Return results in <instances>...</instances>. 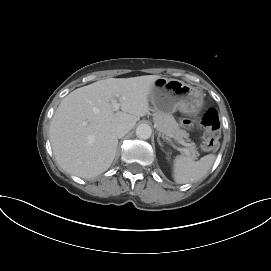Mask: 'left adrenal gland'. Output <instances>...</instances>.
<instances>
[{"instance_id": "1", "label": "left adrenal gland", "mask_w": 271, "mask_h": 271, "mask_svg": "<svg viewBox=\"0 0 271 271\" xmlns=\"http://www.w3.org/2000/svg\"><path fill=\"white\" fill-rule=\"evenodd\" d=\"M157 142H158V144H159L161 147H163V145H162V143H161V141H160V134H158Z\"/></svg>"}]
</instances>
